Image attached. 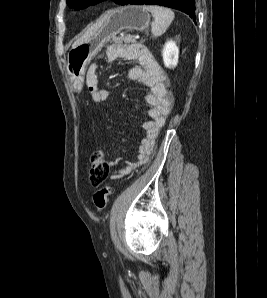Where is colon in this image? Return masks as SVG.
<instances>
[{
    "label": "colon",
    "instance_id": "colon-1",
    "mask_svg": "<svg viewBox=\"0 0 267 298\" xmlns=\"http://www.w3.org/2000/svg\"><path fill=\"white\" fill-rule=\"evenodd\" d=\"M109 172V161L105 152L97 148L91 155L90 159V181L95 187H100L105 181ZM113 187L104 185L100 187L93 196L94 207L97 211H102L108 204L112 194Z\"/></svg>",
    "mask_w": 267,
    "mask_h": 298
}]
</instances>
